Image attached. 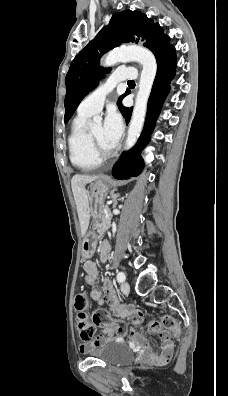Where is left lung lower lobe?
<instances>
[{
	"instance_id": "1",
	"label": "left lung lower lobe",
	"mask_w": 228,
	"mask_h": 396,
	"mask_svg": "<svg viewBox=\"0 0 228 396\" xmlns=\"http://www.w3.org/2000/svg\"><path fill=\"white\" fill-rule=\"evenodd\" d=\"M170 38L163 34L155 38L148 46L157 60V74L154 80L151 95L148 100L147 116L143 132L136 145L122 157L113 167L112 174L116 179L123 180L138 176L143 169L141 152L150 140L155 121L160 113L162 104L169 91V84L176 68L175 48L169 44ZM126 123L129 122L132 108L122 107L120 110Z\"/></svg>"
}]
</instances>
